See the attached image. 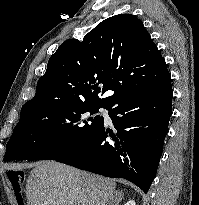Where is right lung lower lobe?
Returning <instances> with one entry per match:
<instances>
[{
	"instance_id": "right-lung-lower-lobe-1",
	"label": "right lung lower lobe",
	"mask_w": 199,
	"mask_h": 205,
	"mask_svg": "<svg viewBox=\"0 0 199 205\" xmlns=\"http://www.w3.org/2000/svg\"><path fill=\"white\" fill-rule=\"evenodd\" d=\"M139 88L107 107L116 134L104 124L79 150L56 161L111 178L145 193L156 175L172 114L171 76L143 78ZM110 136L111 141L106 138Z\"/></svg>"
}]
</instances>
